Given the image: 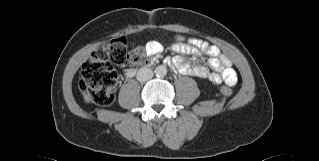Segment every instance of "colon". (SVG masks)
Returning <instances> with one entry per match:
<instances>
[{
    "label": "colon",
    "instance_id": "obj_1",
    "mask_svg": "<svg viewBox=\"0 0 319 161\" xmlns=\"http://www.w3.org/2000/svg\"><path fill=\"white\" fill-rule=\"evenodd\" d=\"M157 50L158 46H155L154 51ZM149 54V50L144 46L128 52L124 37L110 39L83 63L79 80L81 92L100 105L111 104L115 99L118 79L113 65H123L127 62L141 63L146 61V56ZM220 91L224 96H231L233 93L229 85H223Z\"/></svg>",
    "mask_w": 319,
    "mask_h": 161
}]
</instances>
